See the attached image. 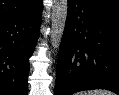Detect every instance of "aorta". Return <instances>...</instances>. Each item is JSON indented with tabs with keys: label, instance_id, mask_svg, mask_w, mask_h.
Segmentation results:
<instances>
[{
	"label": "aorta",
	"instance_id": "1",
	"mask_svg": "<svg viewBox=\"0 0 119 95\" xmlns=\"http://www.w3.org/2000/svg\"><path fill=\"white\" fill-rule=\"evenodd\" d=\"M67 10V0H54L51 23V45L54 50L59 49L61 44L67 18Z\"/></svg>",
	"mask_w": 119,
	"mask_h": 95
}]
</instances>
